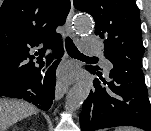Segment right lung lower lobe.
<instances>
[{
	"label": "right lung lower lobe",
	"instance_id": "98d812e1",
	"mask_svg": "<svg viewBox=\"0 0 151 131\" xmlns=\"http://www.w3.org/2000/svg\"><path fill=\"white\" fill-rule=\"evenodd\" d=\"M56 58L64 54L62 43L54 48ZM60 62L56 60L48 69L45 76H42L40 69L33 75L26 77L14 85L0 90V96L23 99L33 103L38 108L47 111L55 98V72Z\"/></svg>",
	"mask_w": 151,
	"mask_h": 131
}]
</instances>
